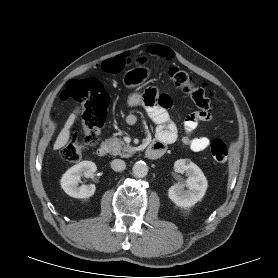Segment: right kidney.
Wrapping results in <instances>:
<instances>
[{
	"instance_id": "obj_1",
	"label": "right kidney",
	"mask_w": 278,
	"mask_h": 278,
	"mask_svg": "<svg viewBox=\"0 0 278 278\" xmlns=\"http://www.w3.org/2000/svg\"><path fill=\"white\" fill-rule=\"evenodd\" d=\"M96 164L92 161H82L70 169L62 176L60 184L62 189L71 197L74 198H89L91 197L96 187L94 184L78 186L82 176L92 178L96 172Z\"/></svg>"
}]
</instances>
